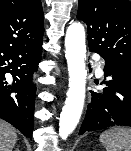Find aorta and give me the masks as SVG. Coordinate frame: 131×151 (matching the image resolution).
Instances as JSON below:
<instances>
[{"instance_id":"762f6f07","label":"aorta","mask_w":131,"mask_h":151,"mask_svg":"<svg viewBox=\"0 0 131 151\" xmlns=\"http://www.w3.org/2000/svg\"><path fill=\"white\" fill-rule=\"evenodd\" d=\"M65 49L69 72V88L59 119V135L63 140L75 130L85 100L86 45L85 30L80 23H73L68 27L65 36Z\"/></svg>"}]
</instances>
